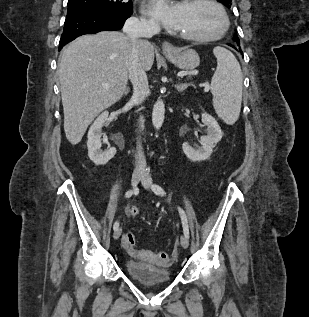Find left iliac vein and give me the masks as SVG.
<instances>
[{"label": "left iliac vein", "mask_w": 309, "mask_h": 317, "mask_svg": "<svg viewBox=\"0 0 309 317\" xmlns=\"http://www.w3.org/2000/svg\"><path fill=\"white\" fill-rule=\"evenodd\" d=\"M142 185L149 189L152 185V179L150 178V176L148 174H144L143 178H142ZM180 244L181 246L186 249L189 246V241L188 238L185 235H182L180 237Z\"/></svg>", "instance_id": "4c4485c4"}]
</instances>
